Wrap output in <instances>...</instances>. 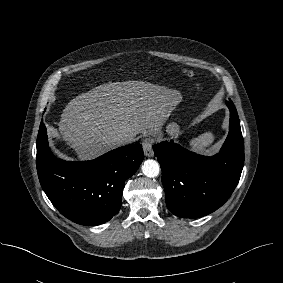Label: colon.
<instances>
[{"instance_id":"5ec220e1","label":"colon","mask_w":283,"mask_h":283,"mask_svg":"<svg viewBox=\"0 0 283 283\" xmlns=\"http://www.w3.org/2000/svg\"><path fill=\"white\" fill-rule=\"evenodd\" d=\"M184 72V74L186 75V76H188V77H192L193 76V72L192 71H190V70H184L183 71Z\"/></svg>"}]
</instances>
